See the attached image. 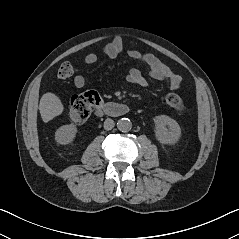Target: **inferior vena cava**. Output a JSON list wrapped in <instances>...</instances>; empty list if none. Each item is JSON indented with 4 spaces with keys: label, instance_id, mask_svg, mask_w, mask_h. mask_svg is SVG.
Instances as JSON below:
<instances>
[{
    "label": "inferior vena cava",
    "instance_id": "1",
    "mask_svg": "<svg viewBox=\"0 0 239 239\" xmlns=\"http://www.w3.org/2000/svg\"><path fill=\"white\" fill-rule=\"evenodd\" d=\"M115 126V123L112 119L110 118H107L105 121H104V129L105 130H111L112 128H114Z\"/></svg>",
    "mask_w": 239,
    "mask_h": 239
}]
</instances>
